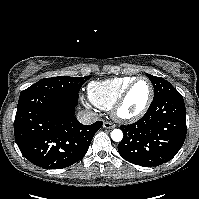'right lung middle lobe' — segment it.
<instances>
[{"instance_id":"obj_1","label":"right lung middle lobe","mask_w":199,"mask_h":199,"mask_svg":"<svg viewBox=\"0 0 199 199\" xmlns=\"http://www.w3.org/2000/svg\"><path fill=\"white\" fill-rule=\"evenodd\" d=\"M90 77L91 76H85V77L59 76L52 78H44L38 81L37 83L33 84L29 88L23 90L20 96L29 93L42 92V93L78 98V93L80 91L81 86Z\"/></svg>"}]
</instances>
